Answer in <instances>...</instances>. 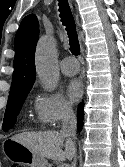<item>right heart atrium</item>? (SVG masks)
I'll return each mask as SVG.
<instances>
[{
    "label": "right heart atrium",
    "instance_id": "right-heart-atrium-1",
    "mask_svg": "<svg viewBox=\"0 0 125 167\" xmlns=\"http://www.w3.org/2000/svg\"><path fill=\"white\" fill-rule=\"evenodd\" d=\"M33 113L41 127L52 128L70 118L73 110L62 96L39 91L35 94Z\"/></svg>",
    "mask_w": 125,
    "mask_h": 167
}]
</instances>
